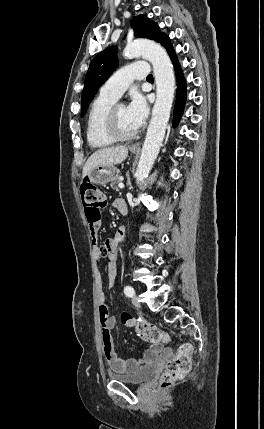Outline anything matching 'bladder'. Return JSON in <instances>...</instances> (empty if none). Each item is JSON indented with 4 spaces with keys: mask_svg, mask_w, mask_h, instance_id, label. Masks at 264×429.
<instances>
[{
    "mask_svg": "<svg viewBox=\"0 0 264 429\" xmlns=\"http://www.w3.org/2000/svg\"><path fill=\"white\" fill-rule=\"evenodd\" d=\"M157 367L155 365L143 366L135 371L126 373L109 372L108 377L111 380L118 381L130 385H141L149 381L156 373Z\"/></svg>",
    "mask_w": 264,
    "mask_h": 429,
    "instance_id": "bladder-1",
    "label": "bladder"
}]
</instances>
